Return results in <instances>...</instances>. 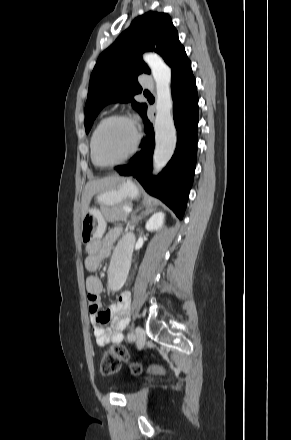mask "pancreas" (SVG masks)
<instances>
[{"mask_svg":"<svg viewBox=\"0 0 291 440\" xmlns=\"http://www.w3.org/2000/svg\"><path fill=\"white\" fill-rule=\"evenodd\" d=\"M124 205H116L112 207L101 206V213L108 222L126 220L128 214L123 210Z\"/></svg>","mask_w":291,"mask_h":440,"instance_id":"obj_1","label":"pancreas"}]
</instances>
